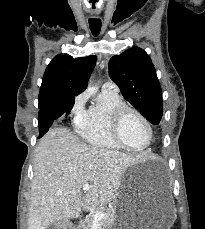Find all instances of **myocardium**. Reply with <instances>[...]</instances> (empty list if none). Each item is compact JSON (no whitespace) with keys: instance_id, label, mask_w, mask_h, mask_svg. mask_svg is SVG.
Returning <instances> with one entry per match:
<instances>
[{"instance_id":"f54148a6","label":"myocardium","mask_w":205,"mask_h":229,"mask_svg":"<svg viewBox=\"0 0 205 229\" xmlns=\"http://www.w3.org/2000/svg\"><path fill=\"white\" fill-rule=\"evenodd\" d=\"M128 114H134L136 115L146 126L147 130H148V141L147 143L140 148H134L131 147L129 145H127L122 136H121V127H122V123L125 119V117ZM111 133L112 136L114 138V140L124 149L129 150V151H133V152H142L145 151L146 149L149 148V146L152 143L153 140V128L149 122V120L138 110H136L135 108H132L130 106L124 105L121 107H118L117 109L114 110V112L112 113V117H111Z\"/></svg>"}]
</instances>
